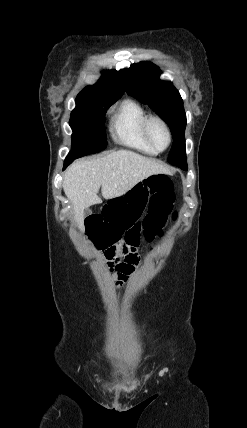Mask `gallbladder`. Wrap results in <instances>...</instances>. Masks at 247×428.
I'll return each instance as SVG.
<instances>
[{"instance_id":"obj_1","label":"gallbladder","mask_w":247,"mask_h":428,"mask_svg":"<svg viewBox=\"0 0 247 428\" xmlns=\"http://www.w3.org/2000/svg\"><path fill=\"white\" fill-rule=\"evenodd\" d=\"M90 214H91V210L90 209L87 208V209L84 210V215L85 216H88Z\"/></svg>"}]
</instances>
